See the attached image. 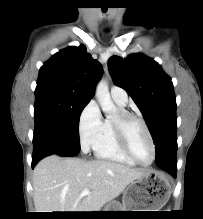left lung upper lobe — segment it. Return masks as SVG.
I'll return each instance as SVG.
<instances>
[{"label": "left lung upper lobe", "instance_id": "left-lung-upper-lobe-1", "mask_svg": "<svg viewBox=\"0 0 203 219\" xmlns=\"http://www.w3.org/2000/svg\"><path fill=\"white\" fill-rule=\"evenodd\" d=\"M114 83L132 97L146 120L156 145L155 161L177 151L176 101L173 84L153 59L137 53L108 61Z\"/></svg>", "mask_w": 203, "mask_h": 219}]
</instances>
